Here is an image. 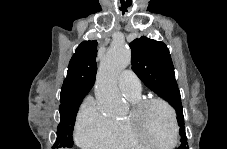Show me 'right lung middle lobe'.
Listing matches in <instances>:
<instances>
[{"instance_id": "1", "label": "right lung middle lobe", "mask_w": 227, "mask_h": 149, "mask_svg": "<svg viewBox=\"0 0 227 149\" xmlns=\"http://www.w3.org/2000/svg\"><path fill=\"white\" fill-rule=\"evenodd\" d=\"M83 99L78 101L60 105V124L58 125L57 139L53 148L56 147H69L71 148L74 144L72 138L73 127L75 124V118Z\"/></svg>"}]
</instances>
